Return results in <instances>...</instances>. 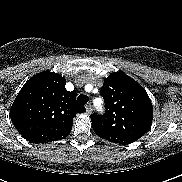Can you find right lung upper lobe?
Segmentation results:
<instances>
[{
  "label": "right lung upper lobe",
  "mask_w": 182,
  "mask_h": 182,
  "mask_svg": "<svg viewBox=\"0 0 182 182\" xmlns=\"http://www.w3.org/2000/svg\"><path fill=\"white\" fill-rule=\"evenodd\" d=\"M66 79L45 71L30 78L16 96L10 118L32 143L56 141L69 135L73 118L85 108L76 103V93L65 89Z\"/></svg>",
  "instance_id": "cb5924a9"
}]
</instances>
